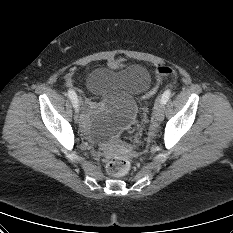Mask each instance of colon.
Instances as JSON below:
<instances>
[{"label": "colon", "instance_id": "colon-1", "mask_svg": "<svg viewBox=\"0 0 233 233\" xmlns=\"http://www.w3.org/2000/svg\"><path fill=\"white\" fill-rule=\"evenodd\" d=\"M175 71L167 66H161L157 69V82L156 84L144 95V99L151 98L157 91L161 77L173 75ZM134 148L124 142L119 143L118 150L106 165L107 172L115 177L124 176L130 168V163L126 155L133 152Z\"/></svg>", "mask_w": 233, "mask_h": 233}]
</instances>
